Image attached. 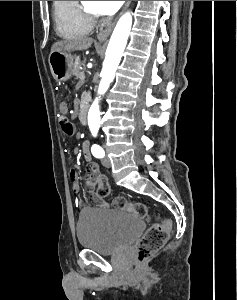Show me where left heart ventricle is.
<instances>
[{"label":"left heart ventricle","instance_id":"obj_1","mask_svg":"<svg viewBox=\"0 0 237 300\" xmlns=\"http://www.w3.org/2000/svg\"><path fill=\"white\" fill-rule=\"evenodd\" d=\"M84 2H85L84 5L88 9H90V10H92L94 12L101 13V11H100V1H84Z\"/></svg>","mask_w":237,"mask_h":300}]
</instances>
